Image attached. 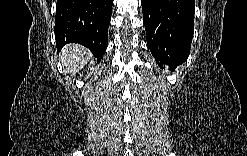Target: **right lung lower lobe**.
<instances>
[{
  "mask_svg": "<svg viewBox=\"0 0 247 156\" xmlns=\"http://www.w3.org/2000/svg\"><path fill=\"white\" fill-rule=\"evenodd\" d=\"M113 0H57L55 39L58 51L78 43L102 58L108 43Z\"/></svg>",
  "mask_w": 247,
  "mask_h": 156,
  "instance_id": "right-lung-lower-lobe-1",
  "label": "right lung lower lobe"
}]
</instances>
